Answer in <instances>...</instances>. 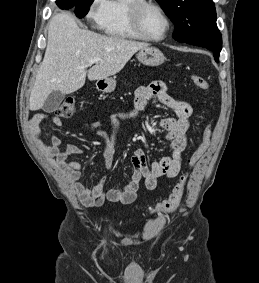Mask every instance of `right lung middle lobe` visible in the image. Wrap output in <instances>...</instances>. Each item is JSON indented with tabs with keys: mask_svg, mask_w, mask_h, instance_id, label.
I'll return each mask as SVG.
<instances>
[{
	"mask_svg": "<svg viewBox=\"0 0 259 283\" xmlns=\"http://www.w3.org/2000/svg\"><path fill=\"white\" fill-rule=\"evenodd\" d=\"M75 2V14L79 18H83L89 10L91 3L94 0H73Z\"/></svg>",
	"mask_w": 259,
	"mask_h": 283,
	"instance_id": "obj_1",
	"label": "right lung middle lobe"
}]
</instances>
